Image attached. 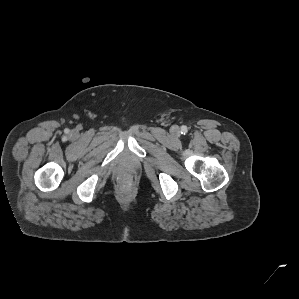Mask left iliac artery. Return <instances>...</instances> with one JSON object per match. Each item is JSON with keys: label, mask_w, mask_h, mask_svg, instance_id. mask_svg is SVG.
Masks as SVG:
<instances>
[{"label": "left iliac artery", "mask_w": 299, "mask_h": 299, "mask_svg": "<svg viewBox=\"0 0 299 299\" xmlns=\"http://www.w3.org/2000/svg\"><path fill=\"white\" fill-rule=\"evenodd\" d=\"M187 131H188V129H187L186 126H182V127H181V133H182V134L185 135V134L187 133Z\"/></svg>", "instance_id": "obj_1"}]
</instances>
